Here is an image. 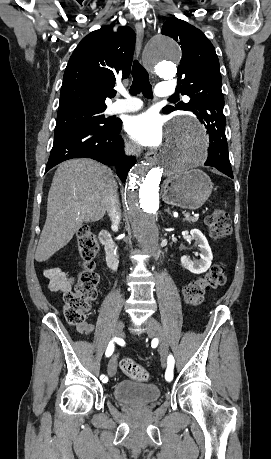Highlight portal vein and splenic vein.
<instances>
[{"instance_id":"18ae733b","label":"portal vein and splenic vein","mask_w":271,"mask_h":459,"mask_svg":"<svg viewBox=\"0 0 271 459\" xmlns=\"http://www.w3.org/2000/svg\"><path fill=\"white\" fill-rule=\"evenodd\" d=\"M188 214H189V212H188V211H187V212H185V217H188V216H189Z\"/></svg>"}]
</instances>
